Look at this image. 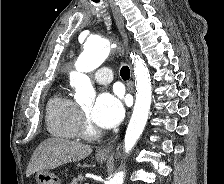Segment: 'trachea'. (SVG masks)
Here are the masks:
<instances>
[{
	"mask_svg": "<svg viewBox=\"0 0 224 184\" xmlns=\"http://www.w3.org/2000/svg\"><path fill=\"white\" fill-rule=\"evenodd\" d=\"M95 3H98L99 0H93ZM120 75L122 79L128 80L130 78V69L128 66H123L120 70Z\"/></svg>",
	"mask_w": 224,
	"mask_h": 184,
	"instance_id": "1",
	"label": "trachea"
}]
</instances>
